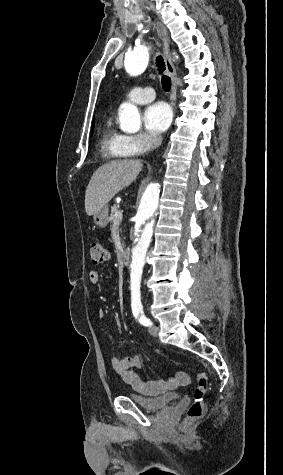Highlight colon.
Here are the masks:
<instances>
[{
  "label": "colon",
  "instance_id": "5ec220e1",
  "mask_svg": "<svg viewBox=\"0 0 283 475\" xmlns=\"http://www.w3.org/2000/svg\"><path fill=\"white\" fill-rule=\"evenodd\" d=\"M108 257V252L99 243H93L90 248V258L94 265L103 264ZM196 389L193 402L187 410V417L195 420L203 415L205 408V395L208 391V377L204 372L195 374Z\"/></svg>",
  "mask_w": 283,
  "mask_h": 475
}]
</instances>
